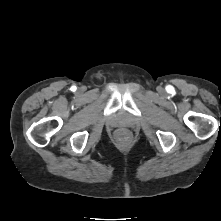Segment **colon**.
I'll return each instance as SVG.
<instances>
[{
	"label": "colon",
	"instance_id": "obj_1",
	"mask_svg": "<svg viewBox=\"0 0 221 221\" xmlns=\"http://www.w3.org/2000/svg\"><path fill=\"white\" fill-rule=\"evenodd\" d=\"M129 138V134L126 130H119L117 132V139L120 141V142H125L127 141Z\"/></svg>",
	"mask_w": 221,
	"mask_h": 221
}]
</instances>
